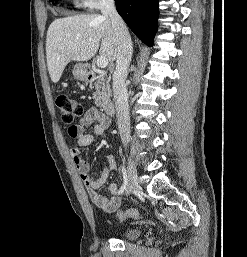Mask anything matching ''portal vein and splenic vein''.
<instances>
[{"label": "portal vein and splenic vein", "instance_id": "1", "mask_svg": "<svg viewBox=\"0 0 247 257\" xmlns=\"http://www.w3.org/2000/svg\"><path fill=\"white\" fill-rule=\"evenodd\" d=\"M96 65H97L99 68H105V67H107V65H108V59H107V57H105V56L97 57Z\"/></svg>", "mask_w": 247, "mask_h": 257}]
</instances>
